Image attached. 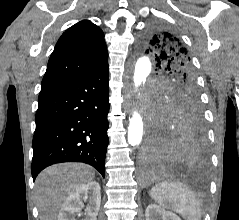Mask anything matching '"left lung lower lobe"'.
<instances>
[{
    "label": "left lung lower lobe",
    "instance_id": "obj_1",
    "mask_svg": "<svg viewBox=\"0 0 239 220\" xmlns=\"http://www.w3.org/2000/svg\"><path fill=\"white\" fill-rule=\"evenodd\" d=\"M207 157L201 112L157 109L143 151L142 170L151 175L173 163L197 164Z\"/></svg>",
    "mask_w": 239,
    "mask_h": 220
}]
</instances>
